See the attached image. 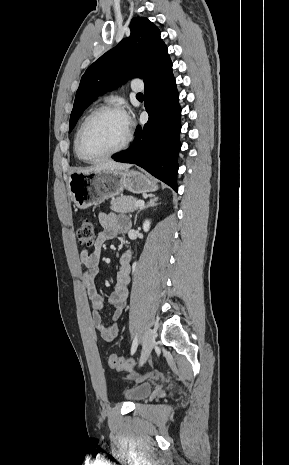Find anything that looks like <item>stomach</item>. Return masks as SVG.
<instances>
[{"label": "stomach", "instance_id": "stomach-1", "mask_svg": "<svg viewBox=\"0 0 289 465\" xmlns=\"http://www.w3.org/2000/svg\"><path fill=\"white\" fill-rule=\"evenodd\" d=\"M124 189L147 193L158 189L155 180L135 170L74 172L68 179V190L74 205L87 209L119 195Z\"/></svg>", "mask_w": 289, "mask_h": 465}]
</instances>
